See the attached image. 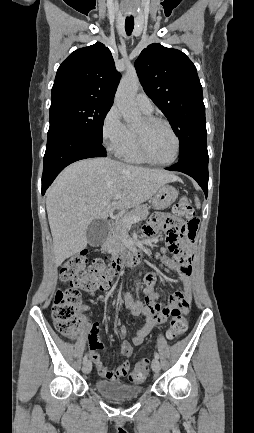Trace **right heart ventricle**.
Masks as SVG:
<instances>
[{"mask_svg":"<svg viewBox=\"0 0 254 433\" xmlns=\"http://www.w3.org/2000/svg\"><path fill=\"white\" fill-rule=\"evenodd\" d=\"M119 157L126 162L134 164H143L146 162L138 151L134 131L130 130V138L123 150L120 152Z\"/></svg>","mask_w":254,"mask_h":433,"instance_id":"obj_1","label":"right heart ventricle"}]
</instances>
